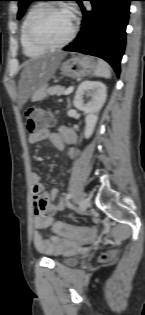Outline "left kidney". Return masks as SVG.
Returning a JSON list of instances; mask_svg holds the SVG:
<instances>
[{
    "instance_id": "left-kidney-1",
    "label": "left kidney",
    "mask_w": 145,
    "mask_h": 315,
    "mask_svg": "<svg viewBox=\"0 0 145 315\" xmlns=\"http://www.w3.org/2000/svg\"><path fill=\"white\" fill-rule=\"evenodd\" d=\"M84 95L90 96L87 103L84 102ZM107 98V88L99 81H83L75 94L73 104L86 114L85 117V138H90L98 121V113L103 107Z\"/></svg>"
}]
</instances>
